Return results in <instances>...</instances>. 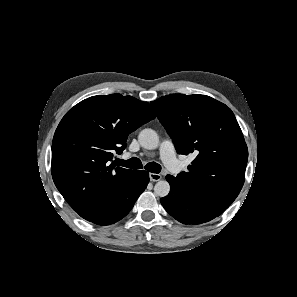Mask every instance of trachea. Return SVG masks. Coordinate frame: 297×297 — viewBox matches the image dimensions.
<instances>
[{
    "label": "trachea",
    "mask_w": 297,
    "mask_h": 297,
    "mask_svg": "<svg viewBox=\"0 0 297 297\" xmlns=\"http://www.w3.org/2000/svg\"><path fill=\"white\" fill-rule=\"evenodd\" d=\"M117 165L124 166L131 169H141L143 168L142 162L140 159L136 157H132L129 160H121L117 161ZM147 171L152 173H159L161 171V166L156 162L147 163L144 167Z\"/></svg>",
    "instance_id": "trachea-1"
}]
</instances>
